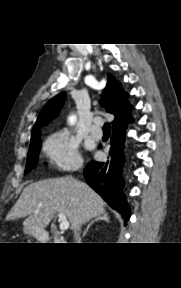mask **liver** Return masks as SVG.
Listing matches in <instances>:
<instances>
[{
    "label": "liver",
    "instance_id": "liver-1",
    "mask_svg": "<svg viewBox=\"0 0 181 288\" xmlns=\"http://www.w3.org/2000/svg\"><path fill=\"white\" fill-rule=\"evenodd\" d=\"M105 202L86 183L72 177L46 179L26 186L7 220L26 217L24 226L44 231L57 213H64L71 230L105 213Z\"/></svg>",
    "mask_w": 181,
    "mask_h": 288
}]
</instances>
